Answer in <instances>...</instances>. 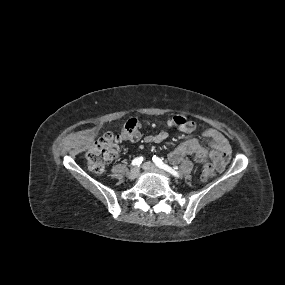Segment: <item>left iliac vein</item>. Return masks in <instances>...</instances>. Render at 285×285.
Masks as SVG:
<instances>
[{
  "instance_id": "obj_1",
  "label": "left iliac vein",
  "mask_w": 285,
  "mask_h": 285,
  "mask_svg": "<svg viewBox=\"0 0 285 285\" xmlns=\"http://www.w3.org/2000/svg\"><path fill=\"white\" fill-rule=\"evenodd\" d=\"M143 169L149 172H156L162 175H165L166 173L163 170L158 169L153 163L146 162L143 164Z\"/></svg>"
}]
</instances>
